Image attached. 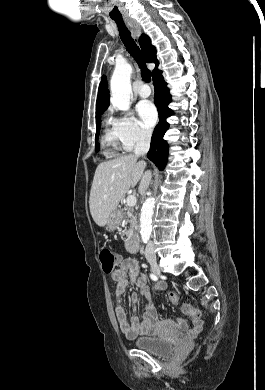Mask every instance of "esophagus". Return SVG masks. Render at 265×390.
I'll use <instances>...</instances> for the list:
<instances>
[{
  "label": "esophagus",
  "mask_w": 265,
  "mask_h": 390,
  "mask_svg": "<svg viewBox=\"0 0 265 390\" xmlns=\"http://www.w3.org/2000/svg\"><path fill=\"white\" fill-rule=\"evenodd\" d=\"M125 20L127 21V23L129 24V26L131 28V32H132L133 37L138 39L140 34H141L140 25L134 19H131L128 17H126Z\"/></svg>",
  "instance_id": "esophagus-1"
}]
</instances>
